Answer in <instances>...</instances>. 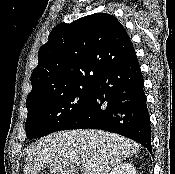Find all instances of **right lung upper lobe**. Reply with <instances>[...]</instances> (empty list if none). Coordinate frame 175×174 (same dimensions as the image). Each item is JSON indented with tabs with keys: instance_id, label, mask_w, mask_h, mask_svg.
I'll return each instance as SVG.
<instances>
[{
	"instance_id": "cb5924a9",
	"label": "right lung upper lobe",
	"mask_w": 175,
	"mask_h": 174,
	"mask_svg": "<svg viewBox=\"0 0 175 174\" xmlns=\"http://www.w3.org/2000/svg\"><path fill=\"white\" fill-rule=\"evenodd\" d=\"M134 54L125 28L110 14L96 13L70 24L61 23L39 50L26 104L63 91L94 86L106 71Z\"/></svg>"
}]
</instances>
